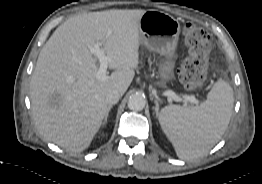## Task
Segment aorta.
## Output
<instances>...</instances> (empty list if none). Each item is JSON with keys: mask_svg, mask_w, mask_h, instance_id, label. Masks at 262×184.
<instances>
[{"mask_svg": "<svg viewBox=\"0 0 262 184\" xmlns=\"http://www.w3.org/2000/svg\"><path fill=\"white\" fill-rule=\"evenodd\" d=\"M146 99L140 94H133L128 99V108L133 111H141L144 109Z\"/></svg>", "mask_w": 262, "mask_h": 184, "instance_id": "aorta-1", "label": "aorta"}]
</instances>
